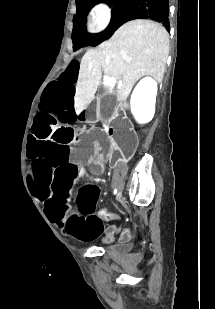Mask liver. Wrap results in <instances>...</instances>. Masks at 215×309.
<instances>
[{"instance_id": "obj_1", "label": "liver", "mask_w": 215, "mask_h": 309, "mask_svg": "<svg viewBox=\"0 0 215 309\" xmlns=\"http://www.w3.org/2000/svg\"><path fill=\"white\" fill-rule=\"evenodd\" d=\"M168 52L169 34L159 22L137 18L122 24L109 40L82 56L74 96L77 114L94 100L102 72L116 78L117 100L128 108L126 98L141 76L162 82Z\"/></svg>"}]
</instances>
